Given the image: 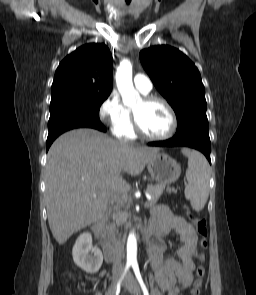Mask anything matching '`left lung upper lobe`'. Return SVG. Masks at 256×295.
Masks as SVG:
<instances>
[{
    "label": "left lung upper lobe",
    "instance_id": "left-lung-upper-lobe-1",
    "mask_svg": "<svg viewBox=\"0 0 256 295\" xmlns=\"http://www.w3.org/2000/svg\"><path fill=\"white\" fill-rule=\"evenodd\" d=\"M139 56L155 87L176 113L175 136L191 131L208 133L205 89L195 64L167 45L144 49Z\"/></svg>",
    "mask_w": 256,
    "mask_h": 295
}]
</instances>
